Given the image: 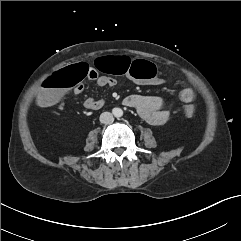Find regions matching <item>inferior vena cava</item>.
Returning a JSON list of instances; mask_svg holds the SVG:
<instances>
[{
    "label": "inferior vena cava",
    "instance_id": "1",
    "mask_svg": "<svg viewBox=\"0 0 241 241\" xmlns=\"http://www.w3.org/2000/svg\"><path fill=\"white\" fill-rule=\"evenodd\" d=\"M113 121V115L110 112H103L100 115V122L103 124H107Z\"/></svg>",
    "mask_w": 241,
    "mask_h": 241
}]
</instances>
